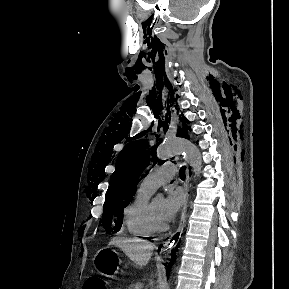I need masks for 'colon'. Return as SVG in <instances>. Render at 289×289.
Instances as JSON below:
<instances>
[{
	"label": "colon",
	"mask_w": 289,
	"mask_h": 289,
	"mask_svg": "<svg viewBox=\"0 0 289 289\" xmlns=\"http://www.w3.org/2000/svg\"><path fill=\"white\" fill-rule=\"evenodd\" d=\"M84 289H105V283L99 278H90L86 281Z\"/></svg>",
	"instance_id": "1"
}]
</instances>
